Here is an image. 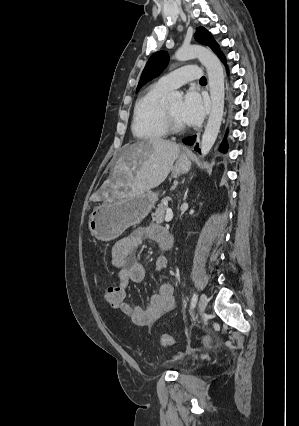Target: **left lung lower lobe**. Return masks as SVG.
Wrapping results in <instances>:
<instances>
[{"mask_svg":"<svg viewBox=\"0 0 299 426\" xmlns=\"http://www.w3.org/2000/svg\"><path fill=\"white\" fill-rule=\"evenodd\" d=\"M217 55L219 56V58H220V59L223 61V63L225 64V57H224L223 53H222L221 51H218V52H217ZM195 138H196V136L187 137V138L183 139V142H184L185 144H193V142H194ZM195 150H196V151H198V150H199V149H198V145H196V146H195ZM226 150H227V142H226V139H224V141H223V142H222V144H221L220 151H222V152H226ZM199 152H200V151H199Z\"/></svg>","mask_w":299,"mask_h":426,"instance_id":"0a47b994","label":"left lung lower lobe"}]
</instances>
